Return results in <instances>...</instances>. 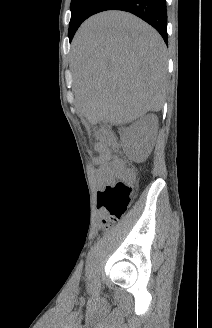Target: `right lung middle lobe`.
<instances>
[{
    "label": "right lung middle lobe",
    "mask_w": 212,
    "mask_h": 328,
    "mask_svg": "<svg viewBox=\"0 0 212 328\" xmlns=\"http://www.w3.org/2000/svg\"><path fill=\"white\" fill-rule=\"evenodd\" d=\"M95 0H72L71 9V20L69 23V39L72 40L76 30L81 23L86 19V16L93 5Z\"/></svg>",
    "instance_id": "obj_1"
}]
</instances>
